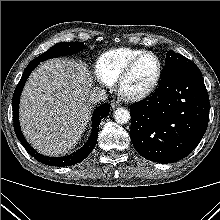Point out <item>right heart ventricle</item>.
Returning a JSON list of instances; mask_svg holds the SVG:
<instances>
[{
	"label": "right heart ventricle",
	"instance_id": "e07e8e85",
	"mask_svg": "<svg viewBox=\"0 0 220 220\" xmlns=\"http://www.w3.org/2000/svg\"><path fill=\"white\" fill-rule=\"evenodd\" d=\"M143 51L134 48H117L103 53L95 66L97 77L107 85L115 84L129 61Z\"/></svg>",
	"mask_w": 220,
	"mask_h": 220
}]
</instances>
